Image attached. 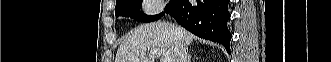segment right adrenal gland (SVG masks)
<instances>
[{"label": "right adrenal gland", "instance_id": "right-adrenal-gland-1", "mask_svg": "<svg viewBox=\"0 0 331 62\" xmlns=\"http://www.w3.org/2000/svg\"><path fill=\"white\" fill-rule=\"evenodd\" d=\"M186 62H191V55L190 54H188Z\"/></svg>", "mask_w": 331, "mask_h": 62}]
</instances>
